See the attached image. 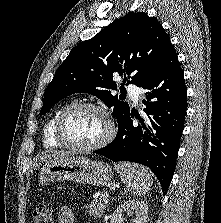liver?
<instances>
[{"mask_svg": "<svg viewBox=\"0 0 221 223\" xmlns=\"http://www.w3.org/2000/svg\"><path fill=\"white\" fill-rule=\"evenodd\" d=\"M70 155L71 153L67 151H52L51 153H44L43 155H41L39 160L41 163H47L69 157Z\"/></svg>", "mask_w": 221, "mask_h": 223, "instance_id": "liver-1", "label": "liver"}]
</instances>
